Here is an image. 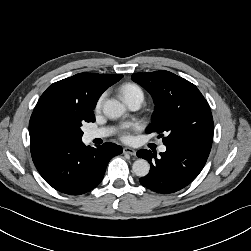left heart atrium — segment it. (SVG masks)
Returning <instances> with one entry per match:
<instances>
[{
  "label": "left heart atrium",
  "instance_id": "obj_1",
  "mask_svg": "<svg viewBox=\"0 0 251 251\" xmlns=\"http://www.w3.org/2000/svg\"><path fill=\"white\" fill-rule=\"evenodd\" d=\"M121 137L123 140H126V141L130 140V134L127 131V129L124 127L121 129Z\"/></svg>",
  "mask_w": 251,
  "mask_h": 251
}]
</instances>
